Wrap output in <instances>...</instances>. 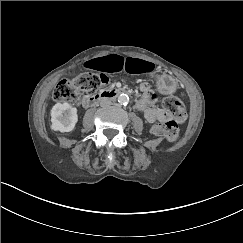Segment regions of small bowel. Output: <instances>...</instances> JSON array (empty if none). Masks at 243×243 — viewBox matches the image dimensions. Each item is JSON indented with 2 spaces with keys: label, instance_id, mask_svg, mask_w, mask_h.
I'll return each instance as SVG.
<instances>
[{
  "label": "small bowel",
  "instance_id": "obj_1",
  "mask_svg": "<svg viewBox=\"0 0 243 243\" xmlns=\"http://www.w3.org/2000/svg\"><path fill=\"white\" fill-rule=\"evenodd\" d=\"M84 68L109 73L126 71L132 74H140L152 72L154 65L139 58L112 54L89 60L84 63ZM140 90L142 98L137 103V108L143 112L145 119L150 123L167 119V114L155 106L156 95L151 87L143 83L140 86Z\"/></svg>",
  "mask_w": 243,
  "mask_h": 243
}]
</instances>
